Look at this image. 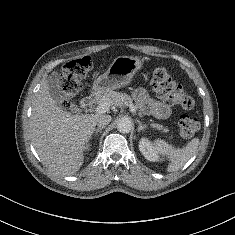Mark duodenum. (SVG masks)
Here are the masks:
<instances>
[{
	"mask_svg": "<svg viewBox=\"0 0 235 235\" xmlns=\"http://www.w3.org/2000/svg\"><path fill=\"white\" fill-rule=\"evenodd\" d=\"M96 99H97L96 94L90 93L81 100L80 105L83 109L90 108L95 104Z\"/></svg>",
	"mask_w": 235,
	"mask_h": 235,
	"instance_id": "duodenum-1",
	"label": "duodenum"
}]
</instances>
